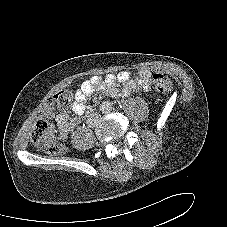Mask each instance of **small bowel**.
I'll return each mask as SVG.
<instances>
[{"label":"small bowel","instance_id":"1","mask_svg":"<svg viewBox=\"0 0 227 227\" xmlns=\"http://www.w3.org/2000/svg\"><path fill=\"white\" fill-rule=\"evenodd\" d=\"M152 81V73L142 69L137 78H132L129 71L123 70L117 74H108L104 78L91 76L84 80L76 90L72 111L76 115L72 120L65 112L56 116L55 122L61 139H67L74 125L79 123L80 116L86 111V101L97 89L104 90L110 97H118L121 94L129 95L140 91H147ZM118 83H125L126 86L121 91L117 88Z\"/></svg>","mask_w":227,"mask_h":227}]
</instances>
